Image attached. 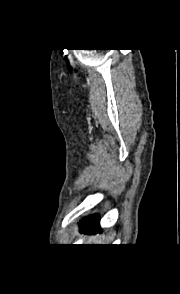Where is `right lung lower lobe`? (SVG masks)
<instances>
[{
    "label": "right lung lower lobe",
    "instance_id": "98d812e1",
    "mask_svg": "<svg viewBox=\"0 0 180 294\" xmlns=\"http://www.w3.org/2000/svg\"><path fill=\"white\" fill-rule=\"evenodd\" d=\"M100 230L99 226V218L97 215L90 216L85 218L81 223V231L82 232H95Z\"/></svg>",
    "mask_w": 180,
    "mask_h": 294
}]
</instances>
